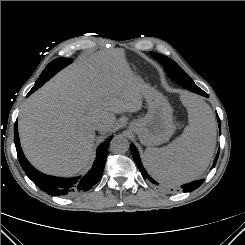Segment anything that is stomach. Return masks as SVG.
I'll return each instance as SVG.
<instances>
[{
	"label": "stomach",
	"instance_id": "0dacf381",
	"mask_svg": "<svg viewBox=\"0 0 245 245\" xmlns=\"http://www.w3.org/2000/svg\"><path fill=\"white\" fill-rule=\"evenodd\" d=\"M143 86L148 112L143 118L132 121L129 128L142 144L153 147L168 141L175 132L173 109L161 93L146 84Z\"/></svg>",
	"mask_w": 245,
	"mask_h": 245
}]
</instances>
